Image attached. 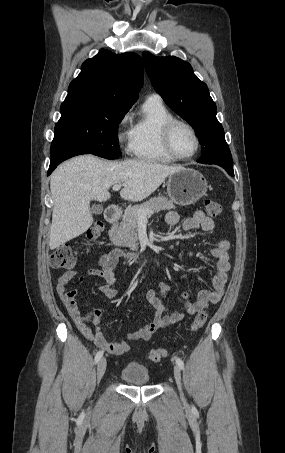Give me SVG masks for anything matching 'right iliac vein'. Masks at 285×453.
<instances>
[{
	"label": "right iliac vein",
	"mask_w": 285,
	"mask_h": 453,
	"mask_svg": "<svg viewBox=\"0 0 285 453\" xmlns=\"http://www.w3.org/2000/svg\"><path fill=\"white\" fill-rule=\"evenodd\" d=\"M106 366H107L106 359L101 358L99 360L98 367H97V381L98 382L102 379V377L106 371Z\"/></svg>",
	"instance_id": "right-iliac-vein-1"
}]
</instances>
